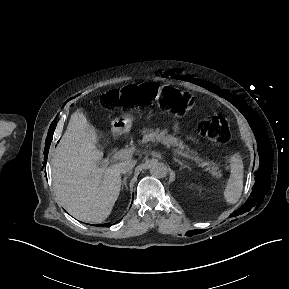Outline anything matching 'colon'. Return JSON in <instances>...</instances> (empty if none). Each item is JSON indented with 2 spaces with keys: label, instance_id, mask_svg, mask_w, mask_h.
I'll list each match as a JSON object with an SVG mask.
<instances>
[{
  "label": "colon",
  "instance_id": "5ec220e1",
  "mask_svg": "<svg viewBox=\"0 0 289 289\" xmlns=\"http://www.w3.org/2000/svg\"><path fill=\"white\" fill-rule=\"evenodd\" d=\"M101 102L109 108L133 109L136 106L158 103L163 108L175 110L178 114L189 112L194 105V98L187 92H178L168 86L144 84L130 85L114 89L101 96ZM226 120L221 116L203 117L197 122V130L204 137L227 143L231 139L225 127ZM221 133L220 135L217 133Z\"/></svg>",
  "mask_w": 289,
  "mask_h": 289
}]
</instances>
